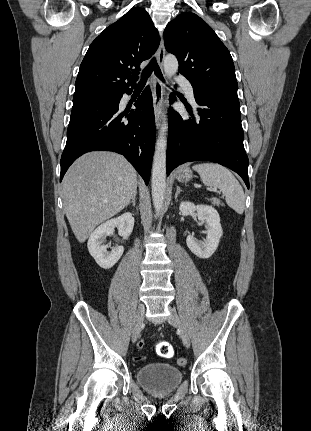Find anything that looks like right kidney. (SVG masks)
<instances>
[{"mask_svg":"<svg viewBox=\"0 0 311 431\" xmlns=\"http://www.w3.org/2000/svg\"><path fill=\"white\" fill-rule=\"evenodd\" d=\"M115 225H118L119 235L128 237L134 227L133 214L126 212V214H122V216L108 219L105 223L98 225V227L92 231L88 239L87 245L92 257H94L98 265H100V267H104V269H109V267L115 265L116 261L120 259L124 251V247H122V245L112 247L111 251H107L108 245H102L104 237L113 233Z\"/></svg>","mask_w":311,"mask_h":431,"instance_id":"ca27d5eb","label":"right kidney"}]
</instances>
